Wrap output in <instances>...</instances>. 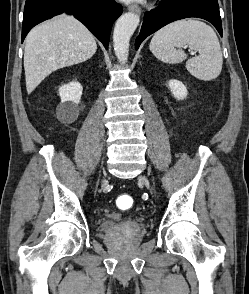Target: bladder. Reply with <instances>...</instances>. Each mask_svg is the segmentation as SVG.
Segmentation results:
<instances>
[{"label": "bladder", "mask_w": 249, "mask_h": 294, "mask_svg": "<svg viewBox=\"0 0 249 294\" xmlns=\"http://www.w3.org/2000/svg\"><path fill=\"white\" fill-rule=\"evenodd\" d=\"M141 221L139 218L132 216H118L112 218L105 224L104 232L106 234H112L118 230L119 227L131 226V225H140Z\"/></svg>", "instance_id": "31cf9c89"}]
</instances>
